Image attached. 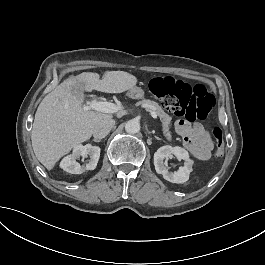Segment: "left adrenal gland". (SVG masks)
I'll list each match as a JSON object with an SVG mask.
<instances>
[{
    "label": "left adrenal gland",
    "mask_w": 265,
    "mask_h": 265,
    "mask_svg": "<svg viewBox=\"0 0 265 265\" xmlns=\"http://www.w3.org/2000/svg\"><path fill=\"white\" fill-rule=\"evenodd\" d=\"M152 133H153V134H155V131H152ZM154 138H155V139H157V140H160V141H162V139H161V138H159V137H157V136H154Z\"/></svg>",
    "instance_id": "left-adrenal-gland-1"
}]
</instances>
